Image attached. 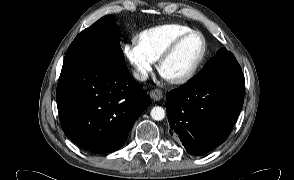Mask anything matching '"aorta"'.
I'll return each instance as SVG.
<instances>
[{
    "mask_svg": "<svg viewBox=\"0 0 294 180\" xmlns=\"http://www.w3.org/2000/svg\"><path fill=\"white\" fill-rule=\"evenodd\" d=\"M150 115L154 120L160 121L165 117V110L160 106H155L151 109Z\"/></svg>",
    "mask_w": 294,
    "mask_h": 180,
    "instance_id": "aorta-1",
    "label": "aorta"
}]
</instances>
